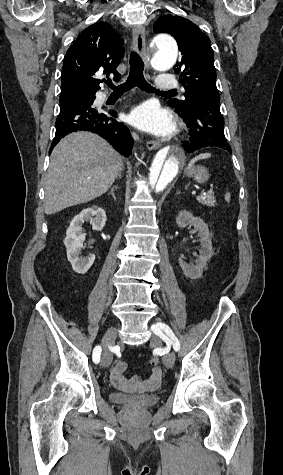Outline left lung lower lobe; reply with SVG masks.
Returning a JSON list of instances; mask_svg holds the SVG:
<instances>
[{"mask_svg":"<svg viewBox=\"0 0 283 475\" xmlns=\"http://www.w3.org/2000/svg\"><path fill=\"white\" fill-rule=\"evenodd\" d=\"M220 98L202 96L194 100L190 110L182 112L190 129V141L183 144L187 153H193L203 147L215 146L231 153V147L224 135V118L220 112Z\"/></svg>","mask_w":283,"mask_h":475,"instance_id":"0a47b994","label":"left lung lower lobe"}]
</instances>
